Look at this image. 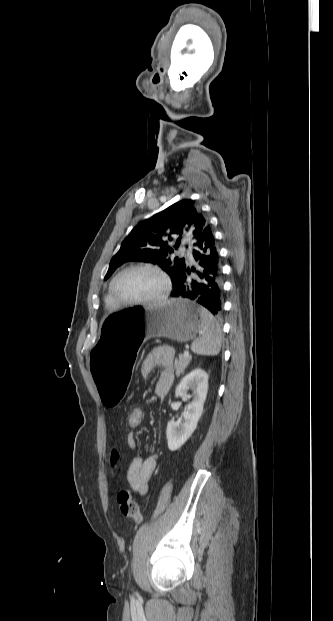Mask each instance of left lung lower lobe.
Masks as SVG:
<instances>
[{
    "label": "left lung lower lobe",
    "instance_id": "left-lung-lower-lobe-1",
    "mask_svg": "<svg viewBox=\"0 0 333 621\" xmlns=\"http://www.w3.org/2000/svg\"><path fill=\"white\" fill-rule=\"evenodd\" d=\"M190 258L197 266H186L177 273L171 296L192 300L206 307L213 315H220L223 298L222 269L220 255L209 226L203 229L194 243Z\"/></svg>",
    "mask_w": 333,
    "mask_h": 621
}]
</instances>
